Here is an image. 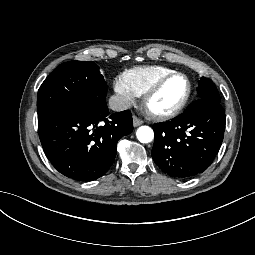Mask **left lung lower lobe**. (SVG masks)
<instances>
[{
	"label": "left lung lower lobe",
	"instance_id": "obj_1",
	"mask_svg": "<svg viewBox=\"0 0 255 255\" xmlns=\"http://www.w3.org/2000/svg\"><path fill=\"white\" fill-rule=\"evenodd\" d=\"M225 123L220 103L198 99L180 117L153 126L154 162L171 177L189 179L199 175L220 149Z\"/></svg>",
	"mask_w": 255,
	"mask_h": 255
}]
</instances>
